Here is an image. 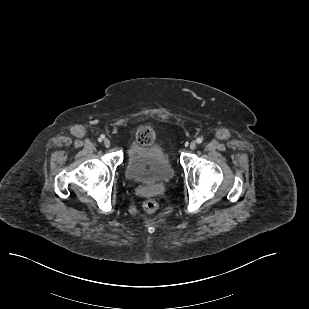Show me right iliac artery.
I'll use <instances>...</instances> for the list:
<instances>
[{
  "instance_id": "right-iliac-artery-1",
  "label": "right iliac artery",
  "mask_w": 309,
  "mask_h": 309,
  "mask_svg": "<svg viewBox=\"0 0 309 309\" xmlns=\"http://www.w3.org/2000/svg\"><path fill=\"white\" fill-rule=\"evenodd\" d=\"M105 138V136L104 135H101L99 138H98V141L99 142H102V140Z\"/></svg>"
}]
</instances>
